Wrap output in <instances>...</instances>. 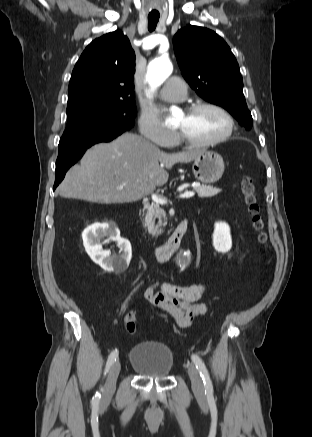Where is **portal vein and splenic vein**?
I'll list each match as a JSON object with an SVG mask.
<instances>
[{
    "label": "portal vein and splenic vein",
    "mask_w": 312,
    "mask_h": 437,
    "mask_svg": "<svg viewBox=\"0 0 312 437\" xmlns=\"http://www.w3.org/2000/svg\"><path fill=\"white\" fill-rule=\"evenodd\" d=\"M119 189H123V187H119ZM194 192H185L183 194H180V198H191L194 196ZM152 200L155 203H159V204H166L167 203V199L164 198L163 196L157 195V194H152Z\"/></svg>",
    "instance_id": "1"
}]
</instances>
